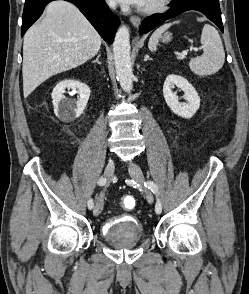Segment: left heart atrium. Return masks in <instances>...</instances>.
<instances>
[{
	"mask_svg": "<svg viewBox=\"0 0 249 294\" xmlns=\"http://www.w3.org/2000/svg\"><path fill=\"white\" fill-rule=\"evenodd\" d=\"M118 1L123 4L136 5V6H143L146 2V0H118Z\"/></svg>",
	"mask_w": 249,
	"mask_h": 294,
	"instance_id": "obj_1",
	"label": "left heart atrium"
}]
</instances>
